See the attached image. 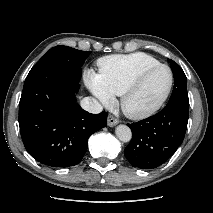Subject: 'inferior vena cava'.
Segmentation results:
<instances>
[{
	"label": "inferior vena cava",
	"instance_id": "602c4592",
	"mask_svg": "<svg viewBox=\"0 0 213 213\" xmlns=\"http://www.w3.org/2000/svg\"><path fill=\"white\" fill-rule=\"evenodd\" d=\"M81 107L90 113H100L103 110L102 105L92 97H85L81 100Z\"/></svg>",
	"mask_w": 213,
	"mask_h": 213
}]
</instances>
